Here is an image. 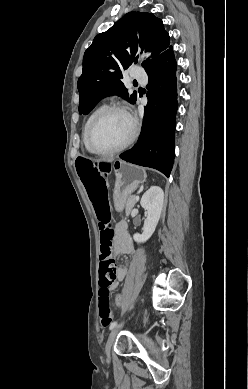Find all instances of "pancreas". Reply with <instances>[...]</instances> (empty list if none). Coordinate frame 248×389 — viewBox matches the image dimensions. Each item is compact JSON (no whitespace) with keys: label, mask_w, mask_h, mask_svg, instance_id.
<instances>
[{"label":"pancreas","mask_w":248,"mask_h":389,"mask_svg":"<svg viewBox=\"0 0 248 389\" xmlns=\"http://www.w3.org/2000/svg\"><path fill=\"white\" fill-rule=\"evenodd\" d=\"M136 203V199L133 197V196H130L126 202V213L128 214L130 212V210L132 209V207L134 206V204Z\"/></svg>","instance_id":"cf45deb5"}]
</instances>
